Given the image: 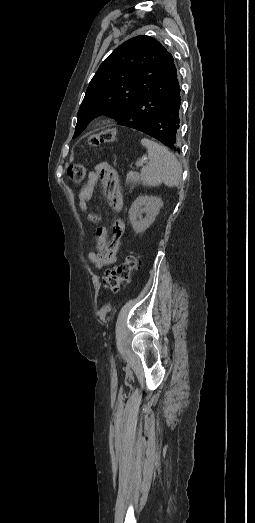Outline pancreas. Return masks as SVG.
I'll return each mask as SVG.
<instances>
[{"label":"pancreas","mask_w":255,"mask_h":523,"mask_svg":"<svg viewBox=\"0 0 255 523\" xmlns=\"http://www.w3.org/2000/svg\"><path fill=\"white\" fill-rule=\"evenodd\" d=\"M139 180V176L138 174H136V172H129V174H127V178H126V184H129V182H131V184H137Z\"/></svg>","instance_id":"pancreas-1"}]
</instances>
